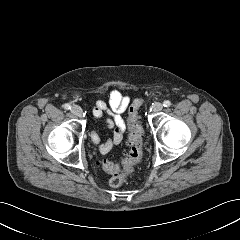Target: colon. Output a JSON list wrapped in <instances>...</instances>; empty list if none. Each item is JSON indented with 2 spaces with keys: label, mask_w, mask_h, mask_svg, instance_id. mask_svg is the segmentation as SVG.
<instances>
[{
  "label": "colon",
  "mask_w": 240,
  "mask_h": 240,
  "mask_svg": "<svg viewBox=\"0 0 240 240\" xmlns=\"http://www.w3.org/2000/svg\"><path fill=\"white\" fill-rule=\"evenodd\" d=\"M143 99H135L128 109V129L129 136L127 150L121 159L122 167L109 160H103V169L111 175L110 185L118 188L123 185L132 171V167L138 163L142 157V127L138 123V110L143 105Z\"/></svg>",
  "instance_id": "5ec220e1"
}]
</instances>
